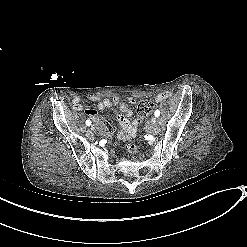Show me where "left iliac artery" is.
<instances>
[{
  "mask_svg": "<svg viewBox=\"0 0 247 247\" xmlns=\"http://www.w3.org/2000/svg\"><path fill=\"white\" fill-rule=\"evenodd\" d=\"M154 115H155V117H158V116L160 115V111H159V110H156V111L154 112Z\"/></svg>",
  "mask_w": 247,
  "mask_h": 247,
  "instance_id": "1",
  "label": "left iliac artery"
}]
</instances>
